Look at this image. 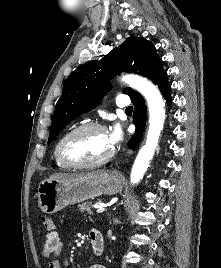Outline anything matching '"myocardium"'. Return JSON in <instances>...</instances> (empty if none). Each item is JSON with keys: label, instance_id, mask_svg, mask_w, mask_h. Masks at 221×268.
I'll return each mask as SVG.
<instances>
[{"label": "myocardium", "instance_id": "myocardium-1", "mask_svg": "<svg viewBox=\"0 0 221 268\" xmlns=\"http://www.w3.org/2000/svg\"><path fill=\"white\" fill-rule=\"evenodd\" d=\"M90 129H98V130L107 131L106 127L100 123L87 122V123L80 124L77 127L73 128L59 140L57 144V148H56V155H57L58 160L62 164L70 168H88V167H95V166L103 165L113 158L115 154L114 148H112V150L104 157L100 159H96V160H90V161H76V160H72L68 158L65 155L64 146L66 142L74 135L82 131H86Z\"/></svg>", "mask_w": 221, "mask_h": 268}]
</instances>
